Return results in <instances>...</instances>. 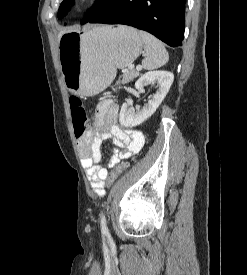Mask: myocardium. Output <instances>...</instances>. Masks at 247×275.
I'll return each mask as SVG.
<instances>
[{
  "label": "myocardium",
  "mask_w": 247,
  "mask_h": 275,
  "mask_svg": "<svg viewBox=\"0 0 247 275\" xmlns=\"http://www.w3.org/2000/svg\"><path fill=\"white\" fill-rule=\"evenodd\" d=\"M94 2H95V0H76V3L79 6H88V5H91Z\"/></svg>",
  "instance_id": "1"
}]
</instances>
